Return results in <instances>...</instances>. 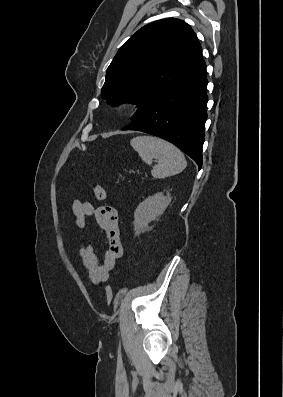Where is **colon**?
Returning <instances> with one entry per match:
<instances>
[{"label": "colon", "instance_id": "1", "mask_svg": "<svg viewBox=\"0 0 283 397\" xmlns=\"http://www.w3.org/2000/svg\"><path fill=\"white\" fill-rule=\"evenodd\" d=\"M92 189L97 200L104 201L106 199L105 189L101 185H99L98 183H93ZM104 291L107 302L111 303L114 298L113 290L111 289L110 286H105Z\"/></svg>", "mask_w": 283, "mask_h": 397}]
</instances>
